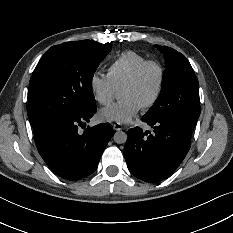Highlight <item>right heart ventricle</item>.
I'll return each instance as SVG.
<instances>
[{"label": "right heart ventricle", "mask_w": 233, "mask_h": 233, "mask_svg": "<svg viewBox=\"0 0 233 233\" xmlns=\"http://www.w3.org/2000/svg\"><path fill=\"white\" fill-rule=\"evenodd\" d=\"M146 60L143 55L135 51H124L111 60L106 69V77L115 89H119Z\"/></svg>", "instance_id": "e07e8e85"}]
</instances>
